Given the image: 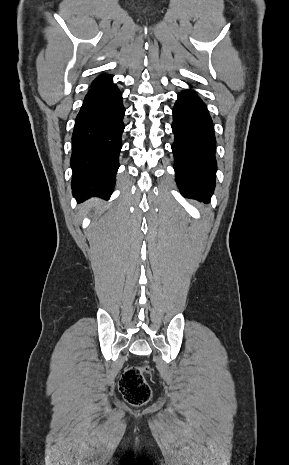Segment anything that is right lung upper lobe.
<instances>
[{
    "label": "right lung upper lobe",
    "instance_id": "1",
    "mask_svg": "<svg viewBox=\"0 0 289 465\" xmlns=\"http://www.w3.org/2000/svg\"><path fill=\"white\" fill-rule=\"evenodd\" d=\"M111 80V76L110 75H100L99 77H97L92 86L93 85H98V84H102V83H105L107 81Z\"/></svg>",
    "mask_w": 289,
    "mask_h": 465
}]
</instances>
